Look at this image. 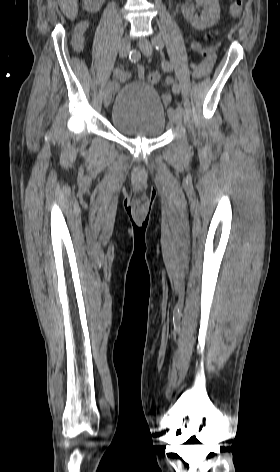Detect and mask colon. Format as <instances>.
Here are the masks:
<instances>
[{
	"instance_id": "1",
	"label": "colon",
	"mask_w": 280,
	"mask_h": 472,
	"mask_svg": "<svg viewBox=\"0 0 280 472\" xmlns=\"http://www.w3.org/2000/svg\"><path fill=\"white\" fill-rule=\"evenodd\" d=\"M243 0H234L230 7V13L233 17H239L242 12ZM215 32H211L209 35H214ZM204 56H208V50H200ZM160 80V74L158 72L149 73L147 76V81L151 84H154Z\"/></svg>"
}]
</instances>
